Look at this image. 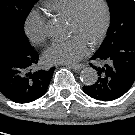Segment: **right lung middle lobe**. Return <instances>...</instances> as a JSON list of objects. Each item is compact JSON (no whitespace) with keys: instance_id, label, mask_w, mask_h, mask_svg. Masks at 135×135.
I'll use <instances>...</instances> for the list:
<instances>
[{"instance_id":"obj_1","label":"right lung middle lobe","mask_w":135,"mask_h":135,"mask_svg":"<svg viewBox=\"0 0 135 135\" xmlns=\"http://www.w3.org/2000/svg\"><path fill=\"white\" fill-rule=\"evenodd\" d=\"M38 0H0V30L12 32L22 42L29 44L24 33V22Z\"/></svg>"}]
</instances>
